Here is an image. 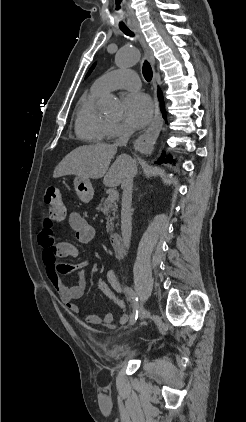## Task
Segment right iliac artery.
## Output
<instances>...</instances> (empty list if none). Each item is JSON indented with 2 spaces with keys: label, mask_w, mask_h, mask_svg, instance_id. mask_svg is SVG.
Masks as SVG:
<instances>
[{
  "label": "right iliac artery",
  "mask_w": 246,
  "mask_h": 422,
  "mask_svg": "<svg viewBox=\"0 0 246 422\" xmlns=\"http://www.w3.org/2000/svg\"><path fill=\"white\" fill-rule=\"evenodd\" d=\"M124 291L132 298L133 312L130 317V323L134 324L138 318V298L129 287H125Z\"/></svg>",
  "instance_id": "82829eb1"
}]
</instances>
